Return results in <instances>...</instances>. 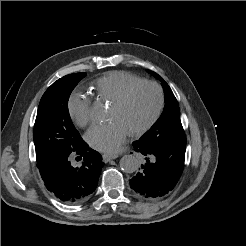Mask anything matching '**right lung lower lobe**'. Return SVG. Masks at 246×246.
Segmentation results:
<instances>
[{
  "label": "right lung lower lobe",
  "instance_id": "1",
  "mask_svg": "<svg viewBox=\"0 0 246 246\" xmlns=\"http://www.w3.org/2000/svg\"><path fill=\"white\" fill-rule=\"evenodd\" d=\"M73 156L83 159L81 167L73 166ZM103 165L102 156L83 140L71 152L37 163L46 188L66 204H78L90 197Z\"/></svg>",
  "mask_w": 246,
  "mask_h": 246
}]
</instances>
